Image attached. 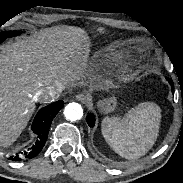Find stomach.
Here are the masks:
<instances>
[{"label": "stomach", "mask_w": 183, "mask_h": 183, "mask_svg": "<svg viewBox=\"0 0 183 183\" xmlns=\"http://www.w3.org/2000/svg\"><path fill=\"white\" fill-rule=\"evenodd\" d=\"M100 106L104 112L112 111L116 106V97L105 98L100 102Z\"/></svg>", "instance_id": "1"}]
</instances>
